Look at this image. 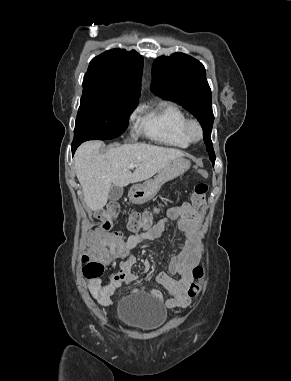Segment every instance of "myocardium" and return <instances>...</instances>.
<instances>
[{"label":"myocardium","mask_w":291,"mask_h":381,"mask_svg":"<svg viewBox=\"0 0 291 381\" xmlns=\"http://www.w3.org/2000/svg\"><path fill=\"white\" fill-rule=\"evenodd\" d=\"M186 132L192 141H199L203 137V128L201 123L195 119H189L186 123Z\"/></svg>","instance_id":"myocardium-1"}]
</instances>
